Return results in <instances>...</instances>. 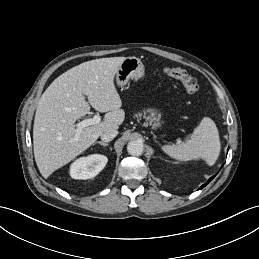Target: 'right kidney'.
<instances>
[{"label":"right kidney","instance_id":"ca27d5eb","mask_svg":"<svg viewBox=\"0 0 259 259\" xmlns=\"http://www.w3.org/2000/svg\"><path fill=\"white\" fill-rule=\"evenodd\" d=\"M108 159L101 154H92L77 159L70 167V176L73 179H90L99 174L106 166Z\"/></svg>","mask_w":259,"mask_h":259}]
</instances>
